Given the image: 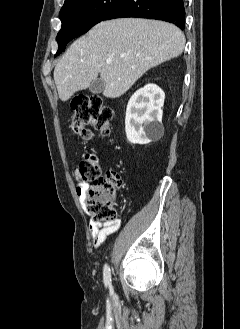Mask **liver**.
I'll list each match as a JSON object with an SVG mask.
<instances>
[{
  "label": "liver",
  "mask_w": 240,
  "mask_h": 329,
  "mask_svg": "<svg viewBox=\"0 0 240 329\" xmlns=\"http://www.w3.org/2000/svg\"><path fill=\"white\" fill-rule=\"evenodd\" d=\"M184 45L182 31L163 21L123 18L100 22L57 63L54 80L59 98L69 100L99 74L105 82L103 95L118 98L146 71L178 57Z\"/></svg>",
  "instance_id": "liver-1"
}]
</instances>
